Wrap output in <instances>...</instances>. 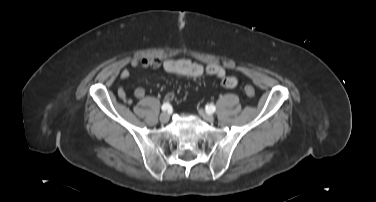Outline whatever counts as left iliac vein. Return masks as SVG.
<instances>
[{
  "label": "left iliac vein",
  "mask_w": 376,
  "mask_h": 202,
  "mask_svg": "<svg viewBox=\"0 0 376 202\" xmlns=\"http://www.w3.org/2000/svg\"><path fill=\"white\" fill-rule=\"evenodd\" d=\"M199 115L207 122H213L214 116L211 113L206 112L204 109L198 110Z\"/></svg>",
  "instance_id": "left-iliac-vein-1"
}]
</instances>
